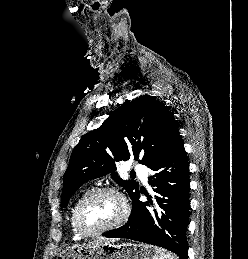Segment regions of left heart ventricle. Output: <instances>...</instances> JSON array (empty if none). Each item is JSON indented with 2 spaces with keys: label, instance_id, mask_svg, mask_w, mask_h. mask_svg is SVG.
Segmentation results:
<instances>
[{
  "label": "left heart ventricle",
  "instance_id": "obj_1",
  "mask_svg": "<svg viewBox=\"0 0 248 259\" xmlns=\"http://www.w3.org/2000/svg\"><path fill=\"white\" fill-rule=\"evenodd\" d=\"M122 213V204L117 196L104 193L92 198L82 211V221L90 230L113 223Z\"/></svg>",
  "mask_w": 248,
  "mask_h": 259
}]
</instances>
